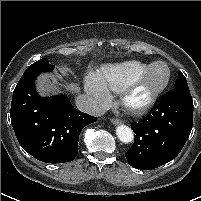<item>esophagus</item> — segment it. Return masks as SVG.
<instances>
[{
	"label": "esophagus",
	"mask_w": 201,
	"mask_h": 201,
	"mask_svg": "<svg viewBox=\"0 0 201 201\" xmlns=\"http://www.w3.org/2000/svg\"><path fill=\"white\" fill-rule=\"evenodd\" d=\"M111 123H112L113 125H119V124L122 123V121H121L120 119H118V118H112V119H111Z\"/></svg>",
	"instance_id": "esophagus-1"
}]
</instances>
